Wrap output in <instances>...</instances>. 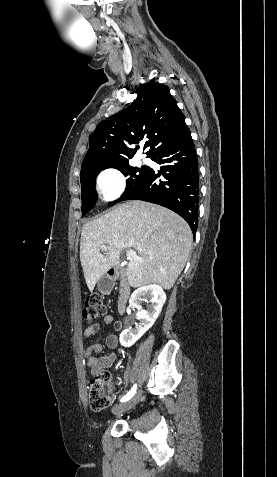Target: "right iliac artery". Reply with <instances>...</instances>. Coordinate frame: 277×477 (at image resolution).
Instances as JSON below:
<instances>
[{
	"instance_id": "1",
	"label": "right iliac artery",
	"mask_w": 277,
	"mask_h": 477,
	"mask_svg": "<svg viewBox=\"0 0 277 477\" xmlns=\"http://www.w3.org/2000/svg\"><path fill=\"white\" fill-rule=\"evenodd\" d=\"M136 388H137V385L135 384L132 387V389L121 399V402H125V401H128L129 399H131L136 392Z\"/></svg>"
}]
</instances>
